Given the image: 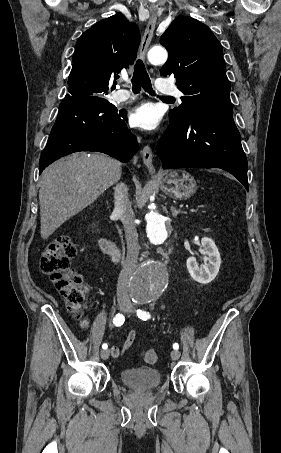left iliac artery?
<instances>
[{
	"mask_svg": "<svg viewBox=\"0 0 281 453\" xmlns=\"http://www.w3.org/2000/svg\"><path fill=\"white\" fill-rule=\"evenodd\" d=\"M137 316H138L139 318H141L142 320H144V321H146L147 319L150 318L149 313H147V312H145V311H141V310H137ZM173 348H174L175 350H178V348H179L178 343L173 344Z\"/></svg>",
	"mask_w": 281,
	"mask_h": 453,
	"instance_id": "1",
	"label": "left iliac artery"
}]
</instances>
